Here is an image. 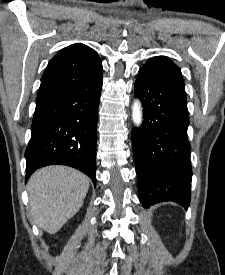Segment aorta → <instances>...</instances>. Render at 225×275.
<instances>
[{
	"label": "aorta",
	"mask_w": 225,
	"mask_h": 275,
	"mask_svg": "<svg viewBox=\"0 0 225 275\" xmlns=\"http://www.w3.org/2000/svg\"><path fill=\"white\" fill-rule=\"evenodd\" d=\"M132 119L135 126L139 127L143 121L142 106L139 100H135L132 106Z\"/></svg>",
	"instance_id": "762f6f07"
}]
</instances>
